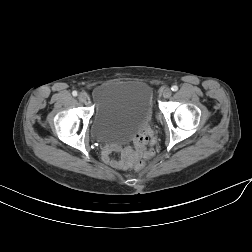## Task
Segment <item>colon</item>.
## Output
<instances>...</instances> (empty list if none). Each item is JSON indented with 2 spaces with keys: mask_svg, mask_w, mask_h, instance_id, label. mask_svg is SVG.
I'll use <instances>...</instances> for the list:
<instances>
[{
  "mask_svg": "<svg viewBox=\"0 0 252 252\" xmlns=\"http://www.w3.org/2000/svg\"><path fill=\"white\" fill-rule=\"evenodd\" d=\"M152 154H153V151H150V152H148V153L145 155V157H146V158H151ZM144 166H145V161L142 160V159H139V160H137V161L135 162V168H136L137 170L142 169Z\"/></svg>",
  "mask_w": 252,
  "mask_h": 252,
  "instance_id": "1",
  "label": "colon"
}]
</instances>
